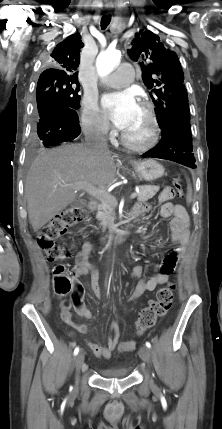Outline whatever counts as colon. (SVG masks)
I'll list each match as a JSON object with an SVG mask.
<instances>
[{"instance_id":"colon-1","label":"colon","mask_w":222,"mask_h":429,"mask_svg":"<svg viewBox=\"0 0 222 429\" xmlns=\"http://www.w3.org/2000/svg\"><path fill=\"white\" fill-rule=\"evenodd\" d=\"M175 196L183 197V190L179 181L173 186L165 187L161 193L164 200H171ZM87 217L86 210L81 207L67 208L55 216L42 229L38 237V245L50 260H64L68 258L69 251L59 244L58 239L67 228L83 222ZM53 288L56 296L65 298L71 292H79L80 286L67 272L64 266H57L53 271ZM175 284L168 283L161 288L155 299L150 300L138 315L135 323V333L140 335L155 325L157 320L165 315L171 308L174 300Z\"/></svg>"}]
</instances>
